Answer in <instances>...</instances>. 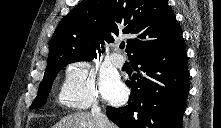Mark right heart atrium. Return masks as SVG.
I'll use <instances>...</instances> for the list:
<instances>
[{
    "label": "right heart atrium",
    "mask_w": 221,
    "mask_h": 128,
    "mask_svg": "<svg viewBox=\"0 0 221 128\" xmlns=\"http://www.w3.org/2000/svg\"><path fill=\"white\" fill-rule=\"evenodd\" d=\"M60 97L65 106L76 110L97 103L96 74L87 60L76 59L66 66Z\"/></svg>",
    "instance_id": "1"
}]
</instances>
